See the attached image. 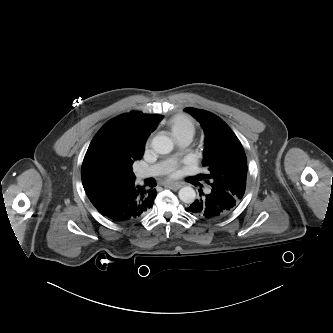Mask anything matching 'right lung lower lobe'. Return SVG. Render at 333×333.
<instances>
[{
    "label": "right lung lower lobe",
    "mask_w": 333,
    "mask_h": 333,
    "mask_svg": "<svg viewBox=\"0 0 333 333\" xmlns=\"http://www.w3.org/2000/svg\"><path fill=\"white\" fill-rule=\"evenodd\" d=\"M85 191L94 207L117 223L139 219L152 207L156 197L155 189L135 187L134 182L92 187Z\"/></svg>",
    "instance_id": "1"
}]
</instances>
